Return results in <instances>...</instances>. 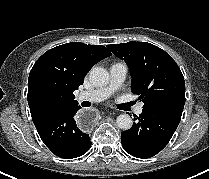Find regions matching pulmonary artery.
Instances as JSON below:
<instances>
[{
	"label": "pulmonary artery",
	"mask_w": 209,
	"mask_h": 179,
	"mask_svg": "<svg viewBox=\"0 0 209 179\" xmlns=\"http://www.w3.org/2000/svg\"><path fill=\"white\" fill-rule=\"evenodd\" d=\"M127 74V66L124 63L117 62L110 66V82L107 86L98 89L81 92L77 96L78 101L101 102L107 99L115 90H117L124 82ZM143 111L142 106H138L135 110L137 115Z\"/></svg>",
	"instance_id": "e3ab8cb5"
}]
</instances>
